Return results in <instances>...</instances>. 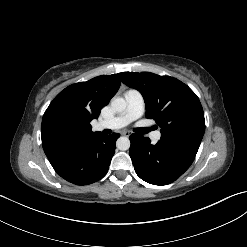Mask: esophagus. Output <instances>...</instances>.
I'll return each mask as SVG.
<instances>
[{
    "instance_id": "esophagus-1",
    "label": "esophagus",
    "mask_w": 247,
    "mask_h": 247,
    "mask_svg": "<svg viewBox=\"0 0 247 247\" xmlns=\"http://www.w3.org/2000/svg\"><path fill=\"white\" fill-rule=\"evenodd\" d=\"M121 135L129 137L131 135V133L129 131H122Z\"/></svg>"
}]
</instances>
